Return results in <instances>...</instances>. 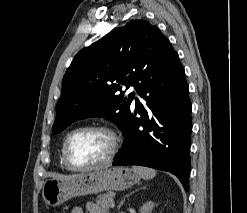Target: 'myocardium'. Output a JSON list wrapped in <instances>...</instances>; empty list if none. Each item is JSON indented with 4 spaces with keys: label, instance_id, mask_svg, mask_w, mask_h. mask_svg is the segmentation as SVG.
Here are the masks:
<instances>
[{
    "label": "myocardium",
    "instance_id": "myocardium-1",
    "mask_svg": "<svg viewBox=\"0 0 247 213\" xmlns=\"http://www.w3.org/2000/svg\"><path fill=\"white\" fill-rule=\"evenodd\" d=\"M84 131H101L110 136L111 149H110L108 156L103 161L96 163V164H92V165L80 166V165L75 164L71 160L69 152H68L69 142L75 134L84 132ZM119 143H120V139L117 133L112 128L106 125L93 124V125L80 126L78 128L73 129L66 135L63 145H62V158H63L65 165L70 170H73V171L85 172V171L100 169L113 162L119 150Z\"/></svg>",
    "mask_w": 247,
    "mask_h": 213
}]
</instances>
